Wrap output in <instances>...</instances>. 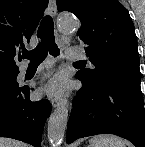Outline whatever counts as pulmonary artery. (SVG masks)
Wrapping results in <instances>:
<instances>
[{
  "instance_id": "obj_1",
  "label": "pulmonary artery",
  "mask_w": 145,
  "mask_h": 147,
  "mask_svg": "<svg viewBox=\"0 0 145 147\" xmlns=\"http://www.w3.org/2000/svg\"><path fill=\"white\" fill-rule=\"evenodd\" d=\"M85 57H86L85 52L80 49L71 48L67 50V58L70 60L84 59ZM26 71L27 69L23 68L20 72V75L21 76L25 75Z\"/></svg>"
}]
</instances>
